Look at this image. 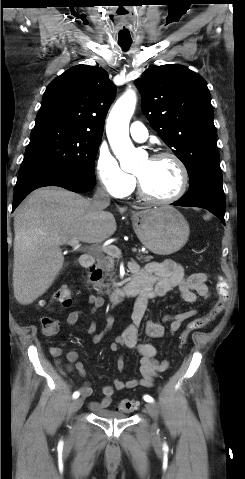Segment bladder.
<instances>
[{"label": "bladder", "instance_id": "bladder-1", "mask_svg": "<svg viewBox=\"0 0 245 479\" xmlns=\"http://www.w3.org/2000/svg\"><path fill=\"white\" fill-rule=\"evenodd\" d=\"M97 417H99V418H106V419H117V420H121V419H126V418L128 417V415H126V414H124V413H120V412L108 410V411L98 412Z\"/></svg>", "mask_w": 245, "mask_h": 479}]
</instances>
